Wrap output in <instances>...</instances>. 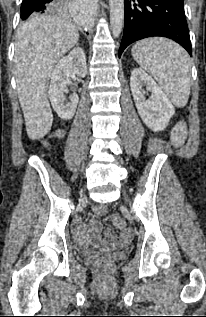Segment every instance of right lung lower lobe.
Returning a JSON list of instances; mask_svg holds the SVG:
<instances>
[{
	"label": "right lung lower lobe",
	"instance_id": "right-lung-lower-lobe-1",
	"mask_svg": "<svg viewBox=\"0 0 206 317\" xmlns=\"http://www.w3.org/2000/svg\"><path fill=\"white\" fill-rule=\"evenodd\" d=\"M25 2L35 9V13H44L50 10L57 0H25Z\"/></svg>",
	"mask_w": 206,
	"mask_h": 317
}]
</instances>
